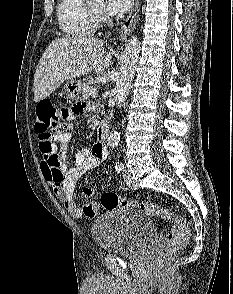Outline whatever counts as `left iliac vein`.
<instances>
[{"label":"left iliac vein","instance_id":"4c4485c4","mask_svg":"<svg viewBox=\"0 0 233 294\" xmlns=\"http://www.w3.org/2000/svg\"><path fill=\"white\" fill-rule=\"evenodd\" d=\"M123 176H124V179L127 183V185L132 188V189H138V185L136 184L135 181L132 180L131 178V172L128 168H125L124 169V172H123Z\"/></svg>","mask_w":233,"mask_h":294}]
</instances>
